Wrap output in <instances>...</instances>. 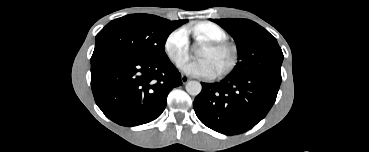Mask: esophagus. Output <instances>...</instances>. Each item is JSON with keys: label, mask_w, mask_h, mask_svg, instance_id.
Returning a JSON list of instances; mask_svg holds the SVG:
<instances>
[{"label": "esophagus", "mask_w": 369, "mask_h": 152, "mask_svg": "<svg viewBox=\"0 0 369 152\" xmlns=\"http://www.w3.org/2000/svg\"><path fill=\"white\" fill-rule=\"evenodd\" d=\"M181 81L183 84H185L189 81V77L187 75H181Z\"/></svg>", "instance_id": "34e87169"}]
</instances>
